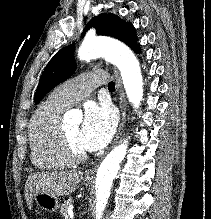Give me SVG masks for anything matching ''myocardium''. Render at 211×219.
Returning a JSON list of instances; mask_svg holds the SVG:
<instances>
[{"label": "myocardium", "mask_w": 211, "mask_h": 219, "mask_svg": "<svg viewBox=\"0 0 211 219\" xmlns=\"http://www.w3.org/2000/svg\"><path fill=\"white\" fill-rule=\"evenodd\" d=\"M60 144L63 153L73 162H82L87 159V153L77 148L64 129L59 130Z\"/></svg>", "instance_id": "obj_1"}]
</instances>
